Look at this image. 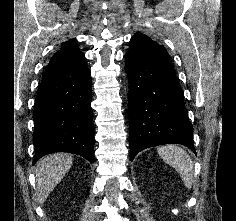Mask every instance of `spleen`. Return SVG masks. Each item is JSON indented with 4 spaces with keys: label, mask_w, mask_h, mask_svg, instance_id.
Listing matches in <instances>:
<instances>
[{
    "label": "spleen",
    "mask_w": 236,
    "mask_h": 221,
    "mask_svg": "<svg viewBox=\"0 0 236 221\" xmlns=\"http://www.w3.org/2000/svg\"><path fill=\"white\" fill-rule=\"evenodd\" d=\"M159 156L180 174L187 188H191L194 174V163L188 153L176 145H165L158 148Z\"/></svg>",
    "instance_id": "3e777b00"
}]
</instances>
